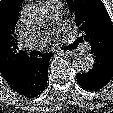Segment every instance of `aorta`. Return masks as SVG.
<instances>
[{
    "instance_id": "aorta-1",
    "label": "aorta",
    "mask_w": 113,
    "mask_h": 113,
    "mask_svg": "<svg viewBox=\"0 0 113 113\" xmlns=\"http://www.w3.org/2000/svg\"><path fill=\"white\" fill-rule=\"evenodd\" d=\"M32 13L28 10L22 12V17H31ZM94 65V59L89 54L79 53L77 54L72 61L73 68L79 73L89 72Z\"/></svg>"
}]
</instances>
